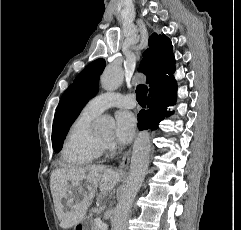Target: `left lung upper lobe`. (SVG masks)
Returning a JSON list of instances; mask_svg holds the SVG:
<instances>
[{
    "label": "left lung upper lobe",
    "mask_w": 241,
    "mask_h": 230,
    "mask_svg": "<svg viewBox=\"0 0 241 230\" xmlns=\"http://www.w3.org/2000/svg\"><path fill=\"white\" fill-rule=\"evenodd\" d=\"M106 65L105 60L98 59L90 63L68 87L60 99L57 107L53 127L52 146L55 152L63 147V141L69 128L80 114L90 97H93L99 89V76Z\"/></svg>",
    "instance_id": "1"
}]
</instances>
